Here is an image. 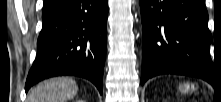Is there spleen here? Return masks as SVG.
Masks as SVG:
<instances>
[{
  "label": "spleen",
  "mask_w": 221,
  "mask_h": 102,
  "mask_svg": "<svg viewBox=\"0 0 221 102\" xmlns=\"http://www.w3.org/2000/svg\"><path fill=\"white\" fill-rule=\"evenodd\" d=\"M179 89L182 93L186 94L190 91H194V85H190L189 83H184L179 86Z\"/></svg>",
  "instance_id": "1"
}]
</instances>
